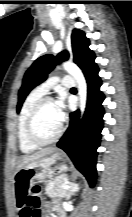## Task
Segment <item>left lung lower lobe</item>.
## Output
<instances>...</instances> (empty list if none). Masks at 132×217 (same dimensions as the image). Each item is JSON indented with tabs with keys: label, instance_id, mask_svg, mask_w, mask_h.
<instances>
[{
	"label": "left lung lower lobe",
	"instance_id": "left-lung-lower-lobe-1",
	"mask_svg": "<svg viewBox=\"0 0 132 217\" xmlns=\"http://www.w3.org/2000/svg\"><path fill=\"white\" fill-rule=\"evenodd\" d=\"M98 68L85 76L88 84L87 107L82 121L79 123L77 110L70 114V125L66 133L57 143L73 161L76 168L84 174L91 187L96 181V157L103 128L104 95L100 91L101 80Z\"/></svg>",
	"mask_w": 132,
	"mask_h": 217
}]
</instances>
